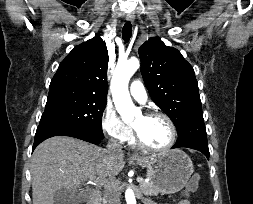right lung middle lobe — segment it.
Segmentation results:
<instances>
[{
	"label": "right lung middle lobe",
	"mask_w": 253,
	"mask_h": 204,
	"mask_svg": "<svg viewBox=\"0 0 253 204\" xmlns=\"http://www.w3.org/2000/svg\"><path fill=\"white\" fill-rule=\"evenodd\" d=\"M106 102L107 99L105 98L94 96L76 88L50 87L40 124L77 128L103 139L102 114Z\"/></svg>",
	"instance_id": "dd1d6c3e"
}]
</instances>
